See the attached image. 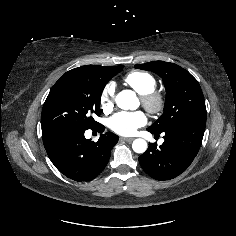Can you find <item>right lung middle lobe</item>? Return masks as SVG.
<instances>
[{
    "instance_id": "obj_1",
    "label": "right lung middle lobe",
    "mask_w": 236,
    "mask_h": 236,
    "mask_svg": "<svg viewBox=\"0 0 236 236\" xmlns=\"http://www.w3.org/2000/svg\"><path fill=\"white\" fill-rule=\"evenodd\" d=\"M120 66L88 65L72 69L54 84L43 105L42 138L67 129H93L99 125L100 99L107 82Z\"/></svg>"
}]
</instances>
